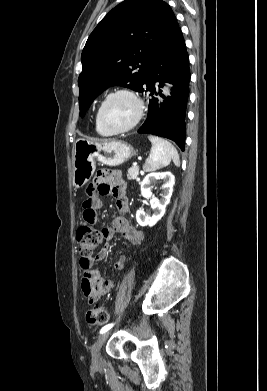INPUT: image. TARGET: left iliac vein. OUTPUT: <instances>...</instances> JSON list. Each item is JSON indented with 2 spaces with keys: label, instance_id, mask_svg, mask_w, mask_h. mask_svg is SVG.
<instances>
[{
  "label": "left iliac vein",
  "instance_id": "1",
  "mask_svg": "<svg viewBox=\"0 0 267 391\" xmlns=\"http://www.w3.org/2000/svg\"><path fill=\"white\" fill-rule=\"evenodd\" d=\"M110 334H111V331H106V332L102 333L98 337V339L95 341V343L92 347V366L95 369H102L104 366V361L101 357L100 350Z\"/></svg>",
  "mask_w": 267,
  "mask_h": 391
}]
</instances>
